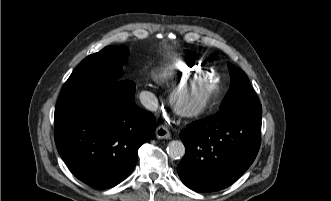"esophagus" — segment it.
Returning <instances> with one entry per match:
<instances>
[{"label": "esophagus", "mask_w": 331, "mask_h": 201, "mask_svg": "<svg viewBox=\"0 0 331 201\" xmlns=\"http://www.w3.org/2000/svg\"><path fill=\"white\" fill-rule=\"evenodd\" d=\"M155 135L158 139H169L171 136L169 130L164 125L157 127Z\"/></svg>", "instance_id": "esophagus-1"}]
</instances>
